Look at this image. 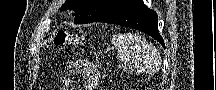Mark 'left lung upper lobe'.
<instances>
[{"label":"left lung upper lobe","instance_id":"5c2ea615","mask_svg":"<svg viewBox=\"0 0 216 90\" xmlns=\"http://www.w3.org/2000/svg\"><path fill=\"white\" fill-rule=\"evenodd\" d=\"M129 0H67L62 5V10L75 12L74 23H91L106 13L120 8Z\"/></svg>","mask_w":216,"mask_h":90}]
</instances>
